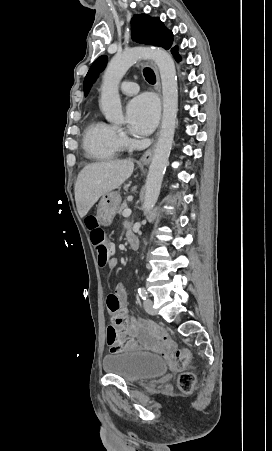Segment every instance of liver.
<instances>
[{"label": "liver", "instance_id": "6515ba94", "mask_svg": "<svg viewBox=\"0 0 272 451\" xmlns=\"http://www.w3.org/2000/svg\"><path fill=\"white\" fill-rule=\"evenodd\" d=\"M133 170L134 164L131 160L99 162L85 166L75 184V202L80 218H84L106 192L119 188L128 180Z\"/></svg>", "mask_w": 272, "mask_h": 451}]
</instances>
